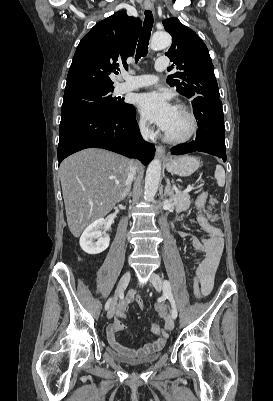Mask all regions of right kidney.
<instances>
[{"mask_svg": "<svg viewBox=\"0 0 273 401\" xmlns=\"http://www.w3.org/2000/svg\"><path fill=\"white\" fill-rule=\"evenodd\" d=\"M103 225H106L105 219H97L81 235L79 241L80 247L88 255H98V253H103L109 247V237H102L101 235L100 229H103Z\"/></svg>", "mask_w": 273, "mask_h": 401, "instance_id": "obj_1", "label": "right kidney"}]
</instances>
